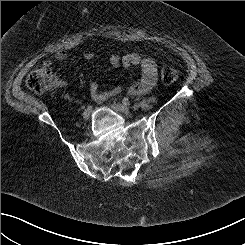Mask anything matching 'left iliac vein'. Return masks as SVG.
<instances>
[{"label": "left iliac vein", "mask_w": 245, "mask_h": 245, "mask_svg": "<svg viewBox=\"0 0 245 245\" xmlns=\"http://www.w3.org/2000/svg\"><path fill=\"white\" fill-rule=\"evenodd\" d=\"M111 106L118 112H122V113H129L130 112V108L126 105L121 104V103L114 102L111 104Z\"/></svg>", "instance_id": "4c4485c4"}]
</instances>
